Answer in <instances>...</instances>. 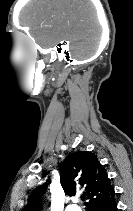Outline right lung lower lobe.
I'll return each instance as SVG.
<instances>
[{
  "label": "right lung lower lobe",
  "mask_w": 133,
  "mask_h": 211,
  "mask_svg": "<svg viewBox=\"0 0 133 211\" xmlns=\"http://www.w3.org/2000/svg\"><path fill=\"white\" fill-rule=\"evenodd\" d=\"M92 211H117L115 199L108 204H101L96 206Z\"/></svg>",
  "instance_id": "98d812e1"
}]
</instances>
